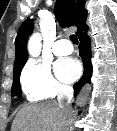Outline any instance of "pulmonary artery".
I'll use <instances>...</instances> for the list:
<instances>
[{
    "label": "pulmonary artery",
    "instance_id": "obj_1",
    "mask_svg": "<svg viewBox=\"0 0 117 131\" xmlns=\"http://www.w3.org/2000/svg\"><path fill=\"white\" fill-rule=\"evenodd\" d=\"M52 51L55 55L63 56L72 53L73 47L68 40L60 39L54 43Z\"/></svg>",
    "mask_w": 117,
    "mask_h": 131
}]
</instances>
